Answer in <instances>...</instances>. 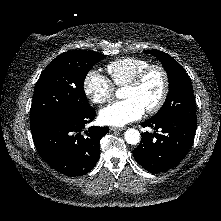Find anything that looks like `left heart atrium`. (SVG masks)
<instances>
[{
  "label": "left heart atrium",
  "instance_id": "1",
  "mask_svg": "<svg viewBox=\"0 0 221 221\" xmlns=\"http://www.w3.org/2000/svg\"><path fill=\"white\" fill-rule=\"evenodd\" d=\"M144 111L145 108L135 98H127L103 108L99 118L105 125L124 126L141 118Z\"/></svg>",
  "mask_w": 221,
  "mask_h": 221
}]
</instances>
